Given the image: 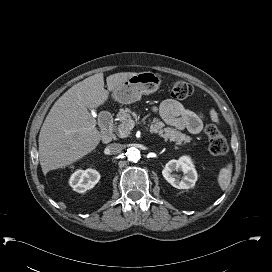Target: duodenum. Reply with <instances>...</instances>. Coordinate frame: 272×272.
Here are the masks:
<instances>
[{
  "label": "duodenum",
  "instance_id": "obj_1",
  "mask_svg": "<svg viewBox=\"0 0 272 272\" xmlns=\"http://www.w3.org/2000/svg\"><path fill=\"white\" fill-rule=\"evenodd\" d=\"M111 116L109 113H103L100 119L102 132H103V142L109 143L113 139V128L111 125Z\"/></svg>",
  "mask_w": 272,
  "mask_h": 272
}]
</instances>
